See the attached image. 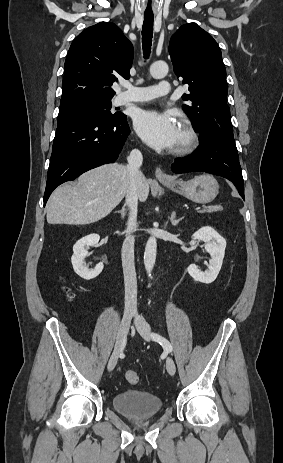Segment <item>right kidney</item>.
I'll use <instances>...</instances> for the list:
<instances>
[{"label":"right kidney","instance_id":"1","mask_svg":"<svg viewBox=\"0 0 283 463\" xmlns=\"http://www.w3.org/2000/svg\"><path fill=\"white\" fill-rule=\"evenodd\" d=\"M99 240L100 236L98 234H90L78 240L73 246V255L71 257L73 269L77 275L85 280L97 277L103 270V262L98 263L94 269H89L84 261L88 254V247L96 245Z\"/></svg>","mask_w":283,"mask_h":463}]
</instances>
